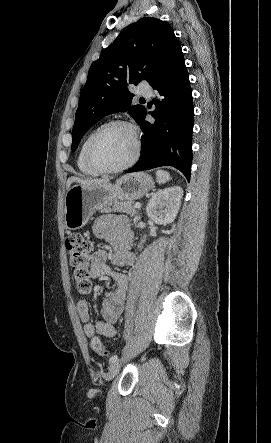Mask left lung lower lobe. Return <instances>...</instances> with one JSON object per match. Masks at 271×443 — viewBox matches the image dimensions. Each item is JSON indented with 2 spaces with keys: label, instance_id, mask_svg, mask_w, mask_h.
<instances>
[{
  "label": "left lung lower lobe",
  "instance_id": "left-lung-lower-lobe-1",
  "mask_svg": "<svg viewBox=\"0 0 271 443\" xmlns=\"http://www.w3.org/2000/svg\"><path fill=\"white\" fill-rule=\"evenodd\" d=\"M158 91L155 122L141 114V156L129 172L173 166L190 180L194 106L181 46L175 47L147 80Z\"/></svg>",
  "mask_w": 271,
  "mask_h": 443
}]
</instances>
